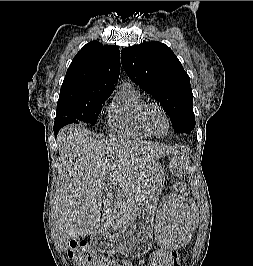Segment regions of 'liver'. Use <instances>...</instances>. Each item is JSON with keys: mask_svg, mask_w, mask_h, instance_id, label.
<instances>
[{"mask_svg": "<svg viewBox=\"0 0 253 266\" xmlns=\"http://www.w3.org/2000/svg\"><path fill=\"white\" fill-rule=\"evenodd\" d=\"M63 181L56 204L61 242L119 231L132 223L148 198L163 144L98 139L70 125L57 135Z\"/></svg>", "mask_w": 253, "mask_h": 266, "instance_id": "6515ba94", "label": "liver"}]
</instances>
